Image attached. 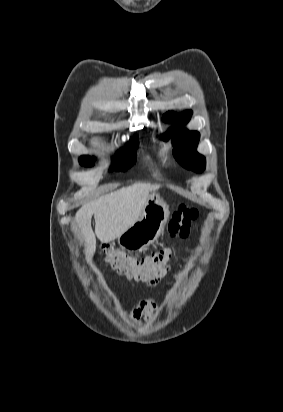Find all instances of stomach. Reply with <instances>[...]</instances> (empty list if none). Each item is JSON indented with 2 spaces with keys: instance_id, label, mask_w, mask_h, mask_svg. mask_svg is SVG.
Wrapping results in <instances>:
<instances>
[{
  "instance_id": "stomach-1",
  "label": "stomach",
  "mask_w": 283,
  "mask_h": 412,
  "mask_svg": "<svg viewBox=\"0 0 283 412\" xmlns=\"http://www.w3.org/2000/svg\"><path fill=\"white\" fill-rule=\"evenodd\" d=\"M169 214V207L160 195L151 194L139 220L118 237L120 247L134 251L153 244L164 231Z\"/></svg>"
}]
</instances>
